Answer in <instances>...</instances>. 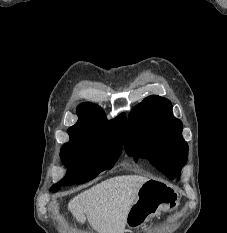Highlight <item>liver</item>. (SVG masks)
<instances>
[{
  "instance_id": "6515ba94",
  "label": "liver",
  "mask_w": 227,
  "mask_h": 233,
  "mask_svg": "<svg viewBox=\"0 0 227 233\" xmlns=\"http://www.w3.org/2000/svg\"><path fill=\"white\" fill-rule=\"evenodd\" d=\"M148 180L140 175L109 178L75 196L68 209L80 223H84L87 217L98 233H124L138 190Z\"/></svg>"
}]
</instances>
